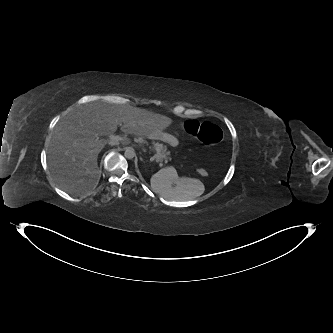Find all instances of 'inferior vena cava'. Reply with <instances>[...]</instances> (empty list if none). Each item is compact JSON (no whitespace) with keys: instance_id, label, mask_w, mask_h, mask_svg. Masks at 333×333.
I'll use <instances>...</instances> for the list:
<instances>
[{"instance_id":"602c4592","label":"inferior vena cava","mask_w":333,"mask_h":333,"mask_svg":"<svg viewBox=\"0 0 333 333\" xmlns=\"http://www.w3.org/2000/svg\"><path fill=\"white\" fill-rule=\"evenodd\" d=\"M108 143H109V145H111V146H114V145H118V144H119V142H114V141H109Z\"/></svg>"}]
</instances>
